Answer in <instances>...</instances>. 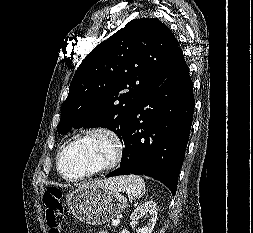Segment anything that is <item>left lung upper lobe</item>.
Returning a JSON list of instances; mask_svg holds the SVG:
<instances>
[{"label": "left lung upper lobe", "mask_w": 253, "mask_h": 233, "mask_svg": "<svg viewBox=\"0 0 253 233\" xmlns=\"http://www.w3.org/2000/svg\"><path fill=\"white\" fill-rule=\"evenodd\" d=\"M178 46L170 29L156 18L127 23L78 67L61 107L58 133L100 126L122 139L132 113L162 79Z\"/></svg>", "instance_id": "left-lung-upper-lobe-1"}]
</instances>
